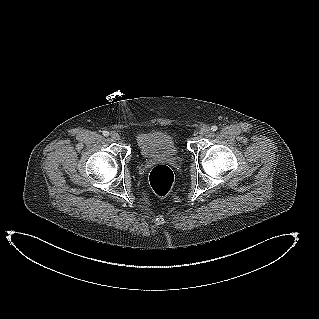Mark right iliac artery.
<instances>
[{
	"mask_svg": "<svg viewBox=\"0 0 319 319\" xmlns=\"http://www.w3.org/2000/svg\"><path fill=\"white\" fill-rule=\"evenodd\" d=\"M103 135L107 137V136H109V132L108 131H103Z\"/></svg>",
	"mask_w": 319,
	"mask_h": 319,
	"instance_id": "obj_1",
	"label": "right iliac artery"
}]
</instances>
